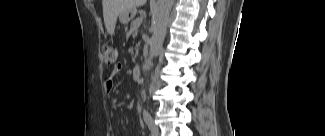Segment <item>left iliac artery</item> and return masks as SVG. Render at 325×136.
<instances>
[{
	"mask_svg": "<svg viewBox=\"0 0 325 136\" xmlns=\"http://www.w3.org/2000/svg\"><path fill=\"white\" fill-rule=\"evenodd\" d=\"M143 117H144V120H145L147 126H148L149 129L151 130L152 127H153V124H154V121H153L151 115H150L148 112H144V113H143Z\"/></svg>",
	"mask_w": 325,
	"mask_h": 136,
	"instance_id": "left-iliac-artery-1",
	"label": "left iliac artery"
}]
</instances>
